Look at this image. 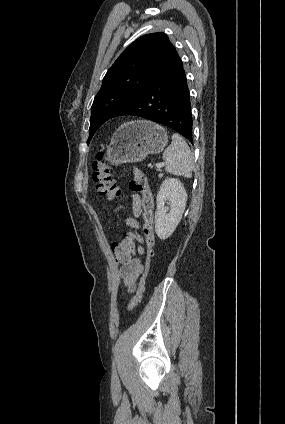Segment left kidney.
Masks as SVG:
<instances>
[{
	"label": "left kidney",
	"mask_w": 285,
	"mask_h": 424,
	"mask_svg": "<svg viewBox=\"0 0 285 424\" xmlns=\"http://www.w3.org/2000/svg\"><path fill=\"white\" fill-rule=\"evenodd\" d=\"M156 201L155 231L160 239L165 240L172 235L182 218L187 193L179 179L166 178L160 186ZM166 203L169 206H165Z\"/></svg>",
	"instance_id": "1"
}]
</instances>
